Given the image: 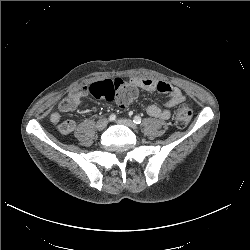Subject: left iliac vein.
Masks as SVG:
<instances>
[{
  "label": "left iliac vein",
  "mask_w": 250,
  "mask_h": 250,
  "mask_svg": "<svg viewBox=\"0 0 250 250\" xmlns=\"http://www.w3.org/2000/svg\"><path fill=\"white\" fill-rule=\"evenodd\" d=\"M117 123L125 125L133 130H136L138 128L137 125L132 120H129V119L121 118L117 120Z\"/></svg>",
  "instance_id": "1"
}]
</instances>
